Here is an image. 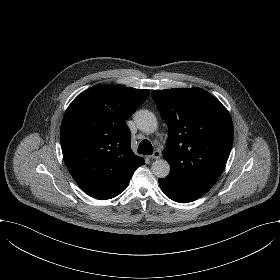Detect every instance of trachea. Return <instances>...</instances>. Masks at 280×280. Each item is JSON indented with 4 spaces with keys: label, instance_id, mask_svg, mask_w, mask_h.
I'll use <instances>...</instances> for the list:
<instances>
[{
    "label": "trachea",
    "instance_id": "3493384b",
    "mask_svg": "<svg viewBox=\"0 0 280 280\" xmlns=\"http://www.w3.org/2000/svg\"><path fill=\"white\" fill-rule=\"evenodd\" d=\"M138 153L144 154V155H150L153 153V147L149 140L144 139L141 141L138 147Z\"/></svg>",
    "mask_w": 280,
    "mask_h": 280
}]
</instances>
